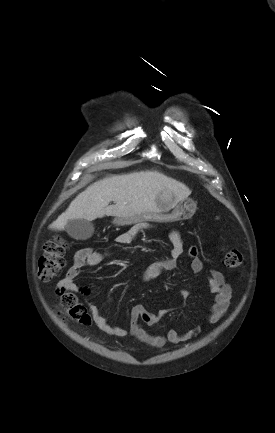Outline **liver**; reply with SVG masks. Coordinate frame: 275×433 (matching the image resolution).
<instances>
[{
	"label": "liver",
	"instance_id": "1",
	"mask_svg": "<svg viewBox=\"0 0 275 433\" xmlns=\"http://www.w3.org/2000/svg\"><path fill=\"white\" fill-rule=\"evenodd\" d=\"M174 194L178 201L186 199L191 190L183 183L158 171H140L99 180L88 186L50 226L64 230L72 219L93 221L106 216L131 217L153 212L158 196ZM113 201L115 204L110 205Z\"/></svg>",
	"mask_w": 275,
	"mask_h": 433
}]
</instances>
